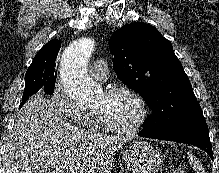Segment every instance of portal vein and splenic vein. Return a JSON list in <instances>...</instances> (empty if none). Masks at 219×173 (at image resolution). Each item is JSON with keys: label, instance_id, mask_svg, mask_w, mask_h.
<instances>
[{"label": "portal vein and splenic vein", "instance_id": "obj_1", "mask_svg": "<svg viewBox=\"0 0 219 173\" xmlns=\"http://www.w3.org/2000/svg\"><path fill=\"white\" fill-rule=\"evenodd\" d=\"M62 171H63V170H58V169H56V170L53 171V173L62 172ZM71 171H72V170H66L67 173H71Z\"/></svg>", "mask_w": 219, "mask_h": 173}]
</instances>
